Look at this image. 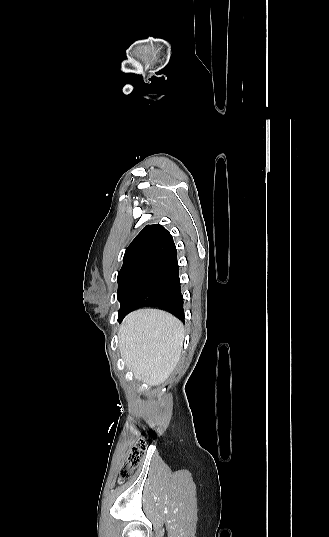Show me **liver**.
<instances>
[{"instance_id":"obj_1","label":"liver","mask_w":329,"mask_h":537,"mask_svg":"<svg viewBox=\"0 0 329 537\" xmlns=\"http://www.w3.org/2000/svg\"><path fill=\"white\" fill-rule=\"evenodd\" d=\"M119 350L134 377L150 386L160 385L176 367L184 340L183 324L157 309H139L124 319Z\"/></svg>"}]
</instances>
